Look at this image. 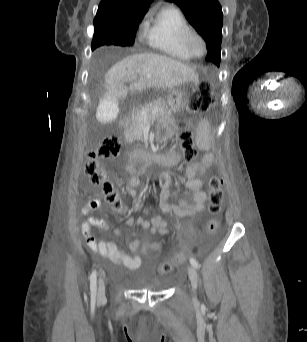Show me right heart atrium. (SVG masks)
<instances>
[{
  "instance_id": "right-heart-atrium-1",
  "label": "right heart atrium",
  "mask_w": 307,
  "mask_h": 342,
  "mask_svg": "<svg viewBox=\"0 0 307 342\" xmlns=\"http://www.w3.org/2000/svg\"><path fill=\"white\" fill-rule=\"evenodd\" d=\"M148 33L144 27V25L140 24L137 26V34L141 35V34H146Z\"/></svg>"
}]
</instances>
